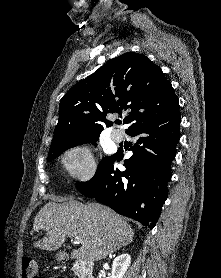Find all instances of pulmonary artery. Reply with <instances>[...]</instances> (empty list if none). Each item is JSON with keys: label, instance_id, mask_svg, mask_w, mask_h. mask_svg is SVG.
I'll return each mask as SVG.
<instances>
[{"label": "pulmonary artery", "instance_id": "1", "mask_svg": "<svg viewBox=\"0 0 221 278\" xmlns=\"http://www.w3.org/2000/svg\"><path fill=\"white\" fill-rule=\"evenodd\" d=\"M111 137L115 142H121L124 139V133L121 130H114Z\"/></svg>", "mask_w": 221, "mask_h": 278}]
</instances>
